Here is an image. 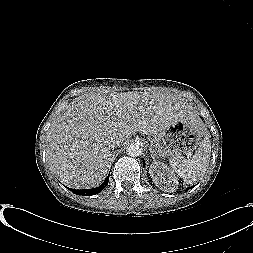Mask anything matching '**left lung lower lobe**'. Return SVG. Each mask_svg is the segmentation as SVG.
<instances>
[{"mask_svg": "<svg viewBox=\"0 0 253 253\" xmlns=\"http://www.w3.org/2000/svg\"><path fill=\"white\" fill-rule=\"evenodd\" d=\"M143 165H145V162H144V161H143ZM188 189H189V188H188ZM188 189H187V190H188Z\"/></svg>", "mask_w": 253, "mask_h": 253, "instance_id": "left-lung-lower-lobe-1", "label": "left lung lower lobe"}]
</instances>
